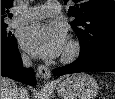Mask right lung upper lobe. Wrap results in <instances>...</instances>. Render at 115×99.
Masks as SVG:
<instances>
[{"label": "right lung upper lobe", "mask_w": 115, "mask_h": 99, "mask_svg": "<svg viewBox=\"0 0 115 99\" xmlns=\"http://www.w3.org/2000/svg\"><path fill=\"white\" fill-rule=\"evenodd\" d=\"M13 7V0H1V22H4L3 19L8 15L9 17L12 14L9 13V8Z\"/></svg>", "instance_id": "obj_1"}]
</instances>
